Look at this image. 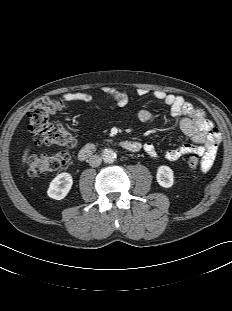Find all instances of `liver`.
<instances>
[{
  "instance_id": "obj_1",
  "label": "liver",
  "mask_w": 232,
  "mask_h": 311,
  "mask_svg": "<svg viewBox=\"0 0 232 311\" xmlns=\"http://www.w3.org/2000/svg\"><path fill=\"white\" fill-rule=\"evenodd\" d=\"M28 152H29V150H28V149H26V150L24 151V155H23V158H22V162H23V163H25V162H26V160H27V155H28Z\"/></svg>"
}]
</instances>
